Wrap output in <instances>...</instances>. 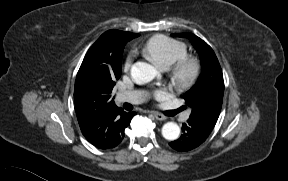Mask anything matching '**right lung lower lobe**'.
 <instances>
[{
    "mask_svg": "<svg viewBox=\"0 0 288 181\" xmlns=\"http://www.w3.org/2000/svg\"><path fill=\"white\" fill-rule=\"evenodd\" d=\"M136 113L135 112H129V113H126V112H122L121 115H120V118L118 120V124H117V130H118V133H117V141L116 143L111 147H115L117 146L121 141L122 139L124 138L125 136V133H124V130L125 128L130 124L131 122V119L132 117L135 115Z\"/></svg>",
    "mask_w": 288,
    "mask_h": 181,
    "instance_id": "obj_1",
    "label": "right lung lower lobe"
}]
</instances>
